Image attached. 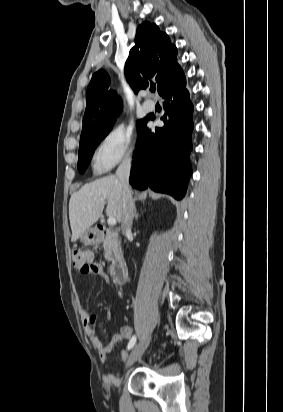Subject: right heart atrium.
<instances>
[{"mask_svg":"<svg viewBox=\"0 0 283 412\" xmlns=\"http://www.w3.org/2000/svg\"><path fill=\"white\" fill-rule=\"evenodd\" d=\"M133 129L126 125L111 128L102 137L95 153V163L99 171L113 168L121 160L130 157L135 151Z\"/></svg>","mask_w":283,"mask_h":412,"instance_id":"obj_1","label":"right heart atrium"}]
</instances>
